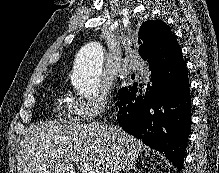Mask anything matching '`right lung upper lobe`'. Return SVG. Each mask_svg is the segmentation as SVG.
<instances>
[{
	"label": "right lung upper lobe",
	"mask_w": 219,
	"mask_h": 173,
	"mask_svg": "<svg viewBox=\"0 0 219 173\" xmlns=\"http://www.w3.org/2000/svg\"><path fill=\"white\" fill-rule=\"evenodd\" d=\"M138 36L139 53L143 60H147L155 54H158L160 59L166 58L170 62L182 57L176 36L163 21L144 22L139 29Z\"/></svg>",
	"instance_id": "cb5924a9"
}]
</instances>
